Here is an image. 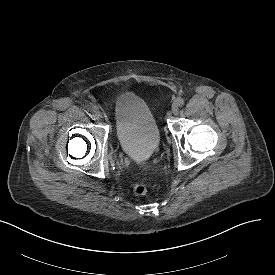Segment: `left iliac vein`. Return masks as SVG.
<instances>
[{"label":"left iliac vein","instance_id":"1","mask_svg":"<svg viewBox=\"0 0 275 275\" xmlns=\"http://www.w3.org/2000/svg\"><path fill=\"white\" fill-rule=\"evenodd\" d=\"M178 112H179V106L177 105V103H174V104L172 105V113H173L174 115H177Z\"/></svg>","mask_w":275,"mask_h":275}]
</instances>
